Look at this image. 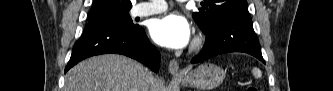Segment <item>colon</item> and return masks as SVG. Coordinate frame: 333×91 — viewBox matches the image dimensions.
<instances>
[{
	"label": "colon",
	"instance_id": "1",
	"mask_svg": "<svg viewBox=\"0 0 333 91\" xmlns=\"http://www.w3.org/2000/svg\"><path fill=\"white\" fill-rule=\"evenodd\" d=\"M246 91H257V88L255 86H249L246 88Z\"/></svg>",
	"mask_w": 333,
	"mask_h": 91
}]
</instances>
